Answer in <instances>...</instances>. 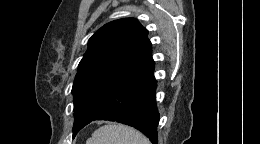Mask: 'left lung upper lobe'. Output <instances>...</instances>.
I'll return each instance as SVG.
<instances>
[{"mask_svg":"<svg viewBox=\"0 0 260 144\" xmlns=\"http://www.w3.org/2000/svg\"><path fill=\"white\" fill-rule=\"evenodd\" d=\"M148 31L134 18L102 26L88 41L72 87L73 137L134 73L153 62Z\"/></svg>","mask_w":260,"mask_h":144,"instance_id":"5c2ea615","label":"left lung upper lobe"}]
</instances>
